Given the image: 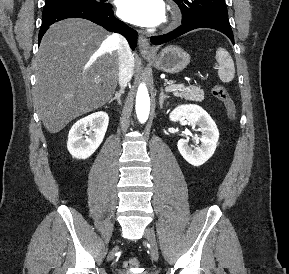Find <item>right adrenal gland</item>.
I'll list each match as a JSON object with an SVG mask.
<instances>
[{
  "instance_id": "2a0ac1e0",
  "label": "right adrenal gland",
  "mask_w": 289,
  "mask_h": 274,
  "mask_svg": "<svg viewBox=\"0 0 289 274\" xmlns=\"http://www.w3.org/2000/svg\"><path fill=\"white\" fill-rule=\"evenodd\" d=\"M123 93H124V89L121 88L118 92L115 93V96L111 98L108 103L111 104L114 100H117L118 104L121 105V95Z\"/></svg>"
}]
</instances>
